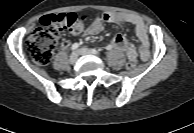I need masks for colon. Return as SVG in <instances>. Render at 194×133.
I'll return each instance as SVG.
<instances>
[{"label": "colon", "mask_w": 194, "mask_h": 133, "mask_svg": "<svg viewBox=\"0 0 194 133\" xmlns=\"http://www.w3.org/2000/svg\"><path fill=\"white\" fill-rule=\"evenodd\" d=\"M86 17L75 13L51 14L41 19V27L37 28L26 40V48L36 65H47L59 43L61 33L65 30L78 34L84 27ZM137 61H129L128 68Z\"/></svg>", "instance_id": "5ec220e1"}]
</instances>
